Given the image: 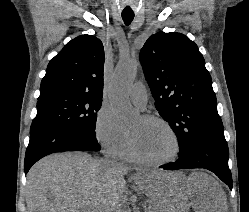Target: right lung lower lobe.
<instances>
[{"instance_id":"obj_1","label":"right lung lower lobe","mask_w":249,"mask_h":212,"mask_svg":"<svg viewBox=\"0 0 249 212\" xmlns=\"http://www.w3.org/2000/svg\"><path fill=\"white\" fill-rule=\"evenodd\" d=\"M96 137H90L69 128H49L30 134L24 171L46 155L65 151H99Z\"/></svg>"}]
</instances>
